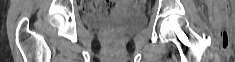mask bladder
Segmentation results:
<instances>
[{
  "label": "bladder",
  "instance_id": "1",
  "mask_svg": "<svg viewBox=\"0 0 235 62\" xmlns=\"http://www.w3.org/2000/svg\"><path fill=\"white\" fill-rule=\"evenodd\" d=\"M146 21L144 12L130 1L120 2L117 8L107 15H95L91 13L85 15L86 24L93 28L115 25L131 31L143 27Z\"/></svg>",
  "mask_w": 235,
  "mask_h": 62
}]
</instances>
